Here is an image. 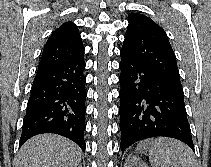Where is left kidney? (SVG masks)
Instances as JSON below:
<instances>
[{"label":"left kidney","mask_w":211,"mask_h":167,"mask_svg":"<svg viewBox=\"0 0 211 167\" xmlns=\"http://www.w3.org/2000/svg\"><path fill=\"white\" fill-rule=\"evenodd\" d=\"M124 167H148L139 157L129 155L125 161Z\"/></svg>","instance_id":"1"}]
</instances>
